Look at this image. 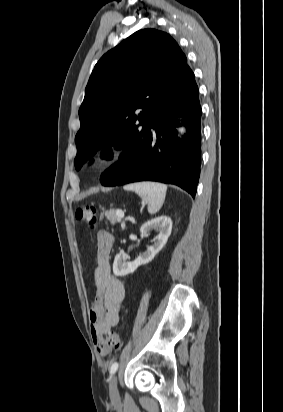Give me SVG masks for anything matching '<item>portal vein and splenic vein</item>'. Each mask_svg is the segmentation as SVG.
I'll use <instances>...</instances> for the list:
<instances>
[{
  "instance_id": "1",
  "label": "portal vein and splenic vein",
  "mask_w": 283,
  "mask_h": 412,
  "mask_svg": "<svg viewBox=\"0 0 283 412\" xmlns=\"http://www.w3.org/2000/svg\"><path fill=\"white\" fill-rule=\"evenodd\" d=\"M116 215L120 218L123 219L124 218V212L120 209L116 210Z\"/></svg>"
}]
</instances>
